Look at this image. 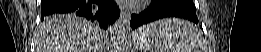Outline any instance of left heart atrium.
Instances as JSON below:
<instances>
[{
  "mask_svg": "<svg viewBox=\"0 0 261 52\" xmlns=\"http://www.w3.org/2000/svg\"><path fill=\"white\" fill-rule=\"evenodd\" d=\"M143 2V0H121L120 4L125 8H131L138 4H142Z\"/></svg>",
  "mask_w": 261,
  "mask_h": 52,
  "instance_id": "left-heart-atrium-1",
  "label": "left heart atrium"
}]
</instances>
